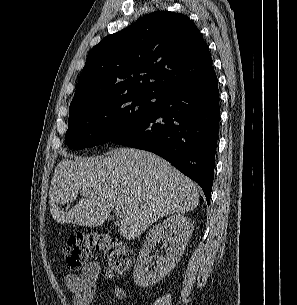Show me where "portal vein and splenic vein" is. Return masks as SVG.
Segmentation results:
<instances>
[{
  "label": "portal vein and splenic vein",
  "mask_w": 297,
  "mask_h": 305,
  "mask_svg": "<svg viewBox=\"0 0 297 305\" xmlns=\"http://www.w3.org/2000/svg\"><path fill=\"white\" fill-rule=\"evenodd\" d=\"M113 208H114V211H115V213L118 217H123L124 216L125 211H124V206L123 205L117 204V205L113 206Z\"/></svg>",
  "instance_id": "18ae733b"
}]
</instances>
